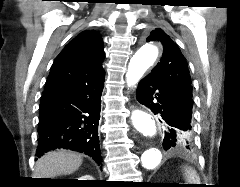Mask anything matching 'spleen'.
<instances>
[{"label":"spleen","mask_w":240,"mask_h":187,"mask_svg":"<svg viewBox=\"0 0 240 187\" xmlns=\"http://www.w3.org/2000/svg\"><path fill=\"white\" fill-rule=\"evenodd\" d=\"M185 177L190 184H198L200 182L197 172L190 167L185 168Z\"/></svg>","instance_id":"obj_1"}]
</instances>
